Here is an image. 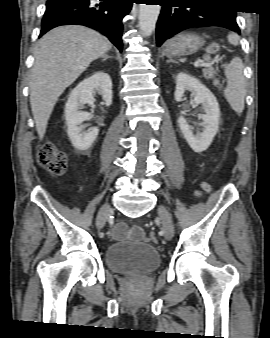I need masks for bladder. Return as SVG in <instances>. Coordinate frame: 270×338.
<instances>
[{
	"label": "bladder",
	"mask_w": 270,
	"mask_h": 338,
	"mask_svg": "<svg viewBox=\"0 0 270 338\" xmlns=\"http://www.w3.org/2000/svg\"><path fill=\"white\" fill-rule=\"evenodd\" d=\"M106 265L114 273L144 274L158 268L161 256L156 247L145 242H113L106 248Z\"/></svg>",
	"instance_id": "1"
}]
</instances>
